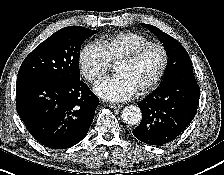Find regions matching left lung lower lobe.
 I'll list each match as a JSON object with an SVG mask.
<instances>
[{
	"mask_svg": "<svg viewBox=\"0 0 224 175\" xmlns=\"http://www.w3.org/2000/svg\"><path fill=\"white\" fill-rule=\"evenodd\" d=\"M200 88L193 72H183L162 81L160 87L138 103L142 121L132 133L154 146L176 139L197 112Z\"/></svg>",
	"mask_w": 224,
	"mask_h": 175,
	"instance_id": "1",
	"label": "left lung lower lobe"
}]
</instances>
